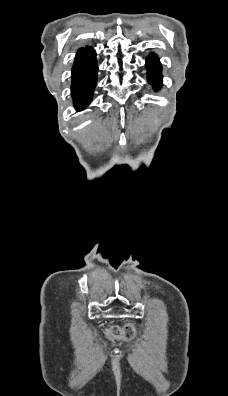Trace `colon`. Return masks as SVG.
I'll list each match as a JSON object with an SVG mask.
<instances>
[{"mask_svg":"<svg viewBox=\"0 0 228 396\" xmlns=\"http://www.w3.org/2000/svg\"><path fill=\"white\" fill-rule=\"evenodd\" d=\"M111 337L132 340L136 335V328L133 324H126L123 327H112L108 330Z\"/></svg>","mask_w":228,"mask_h":396,"instance_id":"5ec220e1","label":"colon"}]
</instances>
